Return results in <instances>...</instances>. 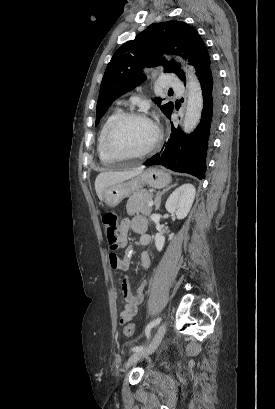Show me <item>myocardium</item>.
<instances>
[{
  "label": "myocardium",
  "instance_id": "1",
  "mask_svg": "<svg viewBox=\"0 0 275 409\" xmlns=\"http://www.w3.org/2000/svg\"><path fill=\"white\" fill-rule=\"evenodd\" d=\"M129 120H142V121L147 122L153 129V136L150 139V141L148 142V144L145 147H143L142 149L132 151V152H128V153H124V154H120V155H113L110 152V144H111V140L113 138V135H114L115 131L117 130V128L122 123H124L126 121H129ZM160 138H161L160 129L146 115L141 114V113H137V112H127V113H123L120 116H118L112 122V124L110 125V127H109V129L107 131V134L105 136L103 151H104L106 157H140V156H144V155L150 153L155 148V146L158 144Z\"/></svg>",
  "mask_w": 275,
  "mask_h": 409
}]
</instances>
